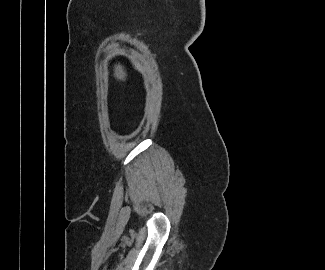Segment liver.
I'll list each match as a JSON object with an SVG mask.
<instances>
[{"instance_id":"1","label":"liver","mask_w":325,"mask_h":270,"mask_svg":"<svg viewBox=\"0 0 325 270\" xmlns=\"http://www.w3.org/2000/svg\"><path fill=\"white\" fill-rule=\"evenodd\" d=\"M126 71L124 70L123 66L118 64L114 67V77L120 81H125L126 79Z\"/></svg>"}]
</instances>
